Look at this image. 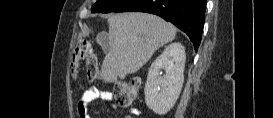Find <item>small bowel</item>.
I'll use <instances>...</instances> for the list:
<instances>
[{
  "label": "small bowel",
  "instance_id": "obj_1",
  "mask_svg": "<svg viewBox=\"0 0 273 118\" xmlns=\"http://www.w3.org/2000/svg\"><path fill=\"white\" fill-rule=\"evenodd\" d=\"M97 98H101L107 101L112 108L114 109L117 108V105L113 102V97L111 93L102 92L95 87H90L87 90H85V92L82 94L81 98L79 99L77 103V111L80 118H90L88 113L89 105L93 100ZM129 113L133 116H137L139 115L140 112L138 109L132 108L129 110Z\"/></svg>",
  "mask_w": 273,
  "mask_h": 118
}]
</instances>
